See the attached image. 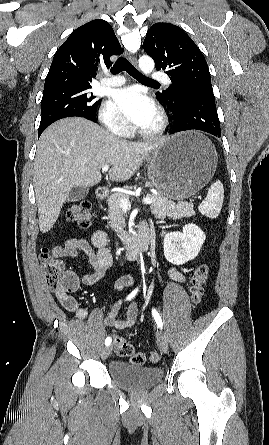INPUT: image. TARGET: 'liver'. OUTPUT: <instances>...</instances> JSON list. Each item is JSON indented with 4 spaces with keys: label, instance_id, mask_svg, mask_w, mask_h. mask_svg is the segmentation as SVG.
<instances>
[{
    "label": "liver",
    "instance_id": "6515ba94",
    "mask_svg": "<svg viewBox=\"0 0 269 445\" xmlns=\"http://www.w3.org/2000/svg\"><path fill=\"white\" fill-rule=\"evenodd\" d=\"M166 140L161 137L150 142H128L80 117L52 124L41 135L34 160L40 231L46 233L54 226L74 186L88 188L98 184L105 165L112 166V181H126Z\"/></svg>",
    "mask_w": 269,
    "mask_h": 445
}]
</instances>
